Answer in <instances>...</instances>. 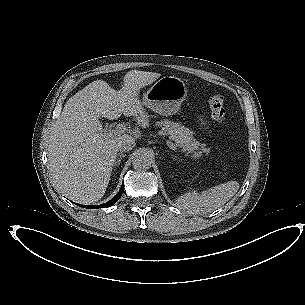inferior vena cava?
<instances>
[{
    "mask_svg": "<svg viewBox=\"0 0 305 305\" xmlns=\"http://www.w3.org/2000/svg\"><path fill=\"white\" fill-rule=\"evenodd\" d=\"M135 139L133 137L121 138L118 142V149L120 151H130L135 147Z\"/></svg>",
    "mask_w": 305,
    "mask_h": 305,
    "instance_id": "inferior-vena-cava-1",
    "label": "inferior vena cava"
}]
</instances>
